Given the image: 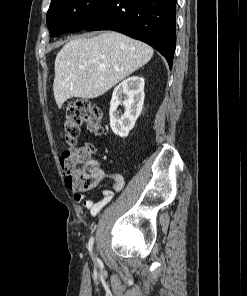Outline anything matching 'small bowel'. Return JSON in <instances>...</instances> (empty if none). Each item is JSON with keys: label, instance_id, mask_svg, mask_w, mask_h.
<instances>
[{"label": "small bowel", "instance_id": "1", "mask_svg": "<svg viewBox=\"0 0 247 296\" xmlns=\"http://www.w3.org/2000/svg\"><path fill=\"white\" fill-rule=\"evenodd\" d=\"M101 175L104 179L109 178L113 180V190H102L98 198H87L86 195L81 192H76L74 194L75 202L82 203L83 207L89 211L91 216L97 215L110 203L114 196V191H121L125 184L124 177L120 173L101 170Z\"/></svg>", "mask_w": 247, "mask_h": 296}]
</instances>
